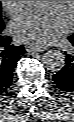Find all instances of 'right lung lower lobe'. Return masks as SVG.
Instances as JSON below:
<instances>
[{"mask_svg": "<svg viewBox=\"0 0 74 122\" xmlns=\"http://www.w3.org/2000/svg\"><path fill=\"white\" fill-rule=\"evenodd\" d=\"M10 42V38L0 36V94L9 88L14 67L26 52L23 46H13Z\"/></svg>", "mask_w": 74, "mask_h": 122, "instance_id": "1", "label": "right lung lower lobe"}]
</instances>
